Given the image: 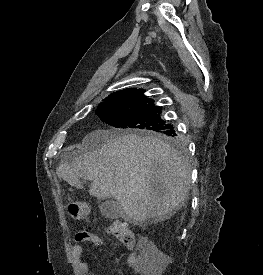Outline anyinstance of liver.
<instances>
[{
    "label": "liver",
    "instance_id": "obj_1",
    "mask_svg": "<svg viewBox=\"0 0 263 275\" xmlns=\"http://www.w3.org/2000/svg\"><path fill=\"white\" fill-rule=\"evenodd\" d=\"M81 147L71 164L58 166L57 176L77 189L83 188L81 178L91 181L89 193L99 199L114 197L128 221L162 222L188 197L189 162L155 136L96 130Z\"/></svg>",
    "mask_w": 263,
    "mask_h": 275
}]
</instances>
